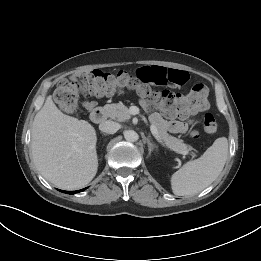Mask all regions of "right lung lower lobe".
Returning a JSON list of instances; mask_svg holds the SVG:
<instances>
[{
  "label": "right lung lower lobe",
  "instance_id": "98d812e1",
  "mask_svg": "<svg viewBox=\"0 0 261 261\" xmlns=\"http://www.w3.org/2000/svg\"><path fill=\"white\" fill-rule=\"evenodd\" d=\"M83 190H85V189H81V190H78V191H62V190H60V191H62V192H64V193H68V194H74V193L81 192V191H83Z\"/></svg>",
  "mask_w": 261,
  "mask_h": 261
}]
</instances>
